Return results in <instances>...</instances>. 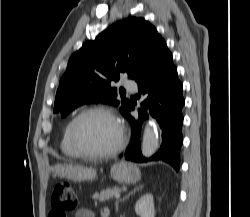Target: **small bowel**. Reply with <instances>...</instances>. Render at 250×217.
I'll return each instance as SVG.
<instances>
[{
  "label": "small bowel",
  "mask_w": 250,
  "mask_h": 217,
  "mask_svg": "<svg viewBox=\"0 0 250 217\" xmlns=\"http://www.w3.org/2000/svg\"><path fill=\"white\" fill-rule=\"evenodd\" d=\"M101 217H109L110 211L108 208L101 209ZM75 217H94L93 211L87 208L78 209L75 213Z\"/></svg>",
  "instance_id": "1"
}]
</instances>
